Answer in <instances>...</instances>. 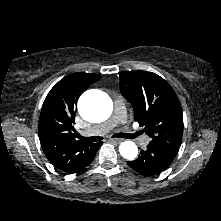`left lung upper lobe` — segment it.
I'll use <instances>...</instances> for the list:
<instances>
[{
  "instance_id": "obj_1",
  "label": "left lung upper lobe",
  "mask_w": 221,
  "mask_h": 221,
  "mask_svg": "<svg viewBox=\"0 0 221 221\" xmlns=\"http://www.w3.org/2000/svg\"><path fill=\"white\" fill-rule=\"evenodd\" d=\"M120 91L134 108L135 121L145 126L150 143L178 152L183 136L182 109L172 87L146 71L120 73Z\"/></svg>"
}]
</instances>
